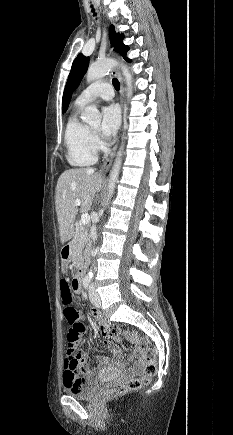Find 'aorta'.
Returning <instances> with one entry per match:
<instances>
[{
  "label": "aorta",
  "instance_id": "1",
  "mask_svg": "<svg viewBox=\"0 0 233 435\" xmlns=\"http://www.w3.org/2000/svg\"><path fill=\"white\" fill-rule=\"evenodd\" d=\"M117 65L118 63L113 59H104V60L97 61L92 65H90V67L88 68L86 79L88 82L99 80L105 77L112 70V68ZM121 70L125 77V81L127 85V96L129 98L132 95V82H133L132 75L129 72L128 68L124 65H121ZM82 119L84 122L90 125H99L101 123V114L95 105H90L84 109L82 113ZM122 156H123V145L120 147L117 153L113 168L109 176L107 202L112 198L116 187V183L118 180L119 171L122 163ZM91 276L92 273L89 272L88 277Z\"/></svg>",
  "mask_w": 233,
  "mask_h": 435
}]
</instances>
